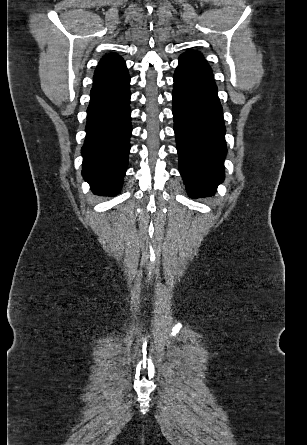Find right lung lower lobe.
Instances as JSON below:
<instances>
[{
	"mask_svg": "<svg viewBox=\"0 0 307 445\" xmlns=\"http://www.w3.org/2000/svg\"><path fill=\"white\" fill-rule=\"evenodd\" d=\"M130 76L125 62L94 74L82 147L84 179L94 194L115 196L130 151Z\"/></svg>",
	"mask_w": 307,
	"mask_h": 445,
	"instance_id": "right-lung-lower-lobe-1",
	"label": "right lung lower lobe"
}]
</instances>
